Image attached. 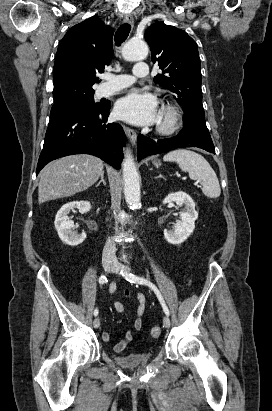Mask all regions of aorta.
<instances>
[{
  "label": "aorta",
  "mask_w": 272,
  "mask_h": 411,
  "mask_svg": "<svg viewBox=\"0 0 272 411\" xmlns=\"http://www.w3.org/2000/svg\"><path fill=\"white\" fill-rule=\"evenodd\" d=\"M147 53L148 46L145 41L131 39L125 44L122 54L127 61H136L146 57ZM122 169L125 201L131 209H138L141 205L140 178L134 159L128 149L126 150Z\"/></svg>",
  "instance_id": "aorta-1"
}]
</instances>
